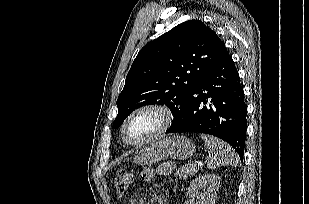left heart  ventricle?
<instances>
[{"instance_id":"left-heart-ventricle-1","label":"left heart ventricle","mask_w":309,"mask_h":204,"mask_svg":"<svg viewBox=\"0 0 309 204\" xmlns=\"http://www.w3.org/2000/svg\"><path fill=\"white\" fill-rule=\"evenodd\" d=\"M161 117L156 112H143L133 117L126 127V136L130 141H139L158 129Z\"/></svg>"}]
</instances>
